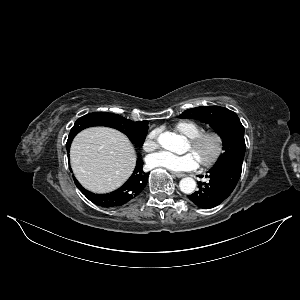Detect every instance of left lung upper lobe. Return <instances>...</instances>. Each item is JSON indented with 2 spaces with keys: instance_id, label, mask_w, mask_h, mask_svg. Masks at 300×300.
<instances>
[{
  "instance_id": "5c2ea615",
  "label": "left lung upper lobe",
  "mask_w": 300,
  "mask_h": 300,
  "mask_svg": "<svg viewBox=\"0 0 300 300\" xmlns=\"http://www.w3.org/2000/svg\"><path fill=\"white\" fill-rule=\"evenodd\" d=\"M180 118H191L209 124L222 138L223 150L218 162L228 159L243 162L244 127L233 111L219 106H204L184 111Z\"/></svg>"
}]
</instances>
